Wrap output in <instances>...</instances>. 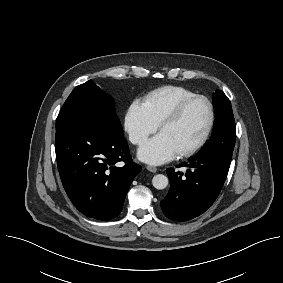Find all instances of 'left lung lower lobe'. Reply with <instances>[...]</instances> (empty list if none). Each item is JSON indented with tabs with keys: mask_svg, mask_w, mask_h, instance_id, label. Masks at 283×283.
Here are the masks:
<instances>
[{
	"mask_svg": "<svg viewBox=\"0 0 283 283\" xmlns=\"http://www.w3.org/2000/svg\"><path fill=\"white\" fill-rule=\"evenodd\" d=\"M231 158L216 152L198 153L187 163L185 174L167 169L168 195L161 201L166 217L186 221L204 213L218 197L226 179Z\"/></svg>",
	"mask_w": 283,
	"mask_h": 283,
	"instance_id": "obj_1",
	"label": "left lung lower lobe"
}]
</instances>
